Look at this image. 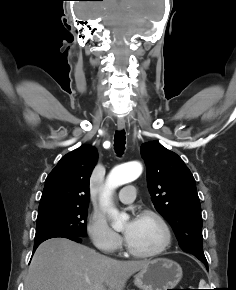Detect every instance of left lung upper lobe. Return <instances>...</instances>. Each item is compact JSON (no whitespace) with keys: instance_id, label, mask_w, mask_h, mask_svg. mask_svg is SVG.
I'll return each mask as SVG.
<instances>
[{"instance_id":"obj_1","label":"left lung upper lobe","mask_w":236,"mask_h":290,"mask_svg":"<svg viewBox=\"0 0 236 290\" xmlns=\"http://www.w3.org/2000/svg\"><path fill=\"white\" fill-rule=\"evenodd\" d=\"M140 151L156 210L172 226L181 249L207 262L203 252L200 200L190 170L177 154L159 142L144 143Z\"/></svg>"}]
</instances>
